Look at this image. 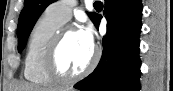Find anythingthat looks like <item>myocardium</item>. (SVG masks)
Instances as JSON below:
<instances>
[{"label": "myocardium", "mask_w": 173, "mask_h": 91, "mask_svg": "<svg viewBox=\"0 0 173 91\" xmlns=\"http://www.w3.org/2000/svg\"><path fill=\"white\" fill-rule=\"evenodd\" d=\"M71 32H78V30L71 25L62 26L51 38L43 55V71L55 83L69 84L86 77L93 71L99 60V50L93 47L91 61L81 72L70 75L60 71L57 63L59 49L65 37Z\"/></svg>", "instance_id": "1"}]
</instances>
